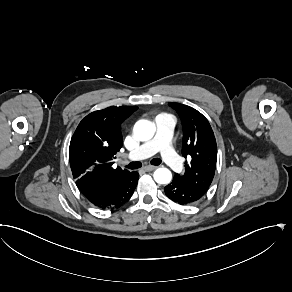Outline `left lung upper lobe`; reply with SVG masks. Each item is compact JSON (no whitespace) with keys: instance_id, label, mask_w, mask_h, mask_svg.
<instances>
[{"instance_id":"1","label":"left lung upper lobe","mask_w":292,"mask_h":292,"mask_svg":"<svg viewBox=\"0 0 292 292\" xmlns=\"http://www.w3.org/2000/svg\"><path fill=\"white\" fill-rule=\"evenodd\" d=\"M180 116L183 127L182 155L185 162V173L175 174L181 183L207 192L213 180L217 145L213 130L208 120L196 109L180 103H169Z\"/></svg>"}]
</instances>
